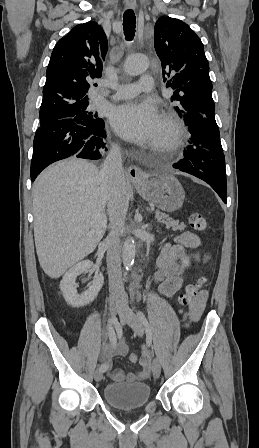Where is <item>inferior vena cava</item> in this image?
I'll return each instance as SVG.
<instances>
[{
	"instance_id": "602c4592",
	"label": "inferior vena cava",
	"mask_w": 259,
	"mask_h": 448,
	"mask_svg": "<svg viewBox=\"0 0 259 448\" xmlns=\"http://www.w3.org/2000/svg\"><path fill=\"white\" fill-rule=\"evenodd\" d=\"M99 182L101 188L107 192V208L111 228L110 234L106 238L110 300L127 306V294H125L122 282L120 238L125 226L129 198L118 144L112 146L103 168L99 172Z\"/></svg>"
}]
</instances>
